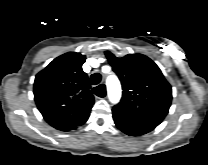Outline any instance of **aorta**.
<instances>
[{
    "instance_id": "1",
    "label": "aorta",
    "mask_w": 208,
    "mask_h": 165,
    "mask_svg": "<svg viewBox=\"0 0 208 165\" xmlns=\"http://www.w3.org/2000/svg\"><path fill=\"white\" fill-rule=\"evenodd\" d=\"M108 96L111 103L116 104L121 98L120 81L115 75H110L106 80Z\"/></svg>"
}]
</instances>
